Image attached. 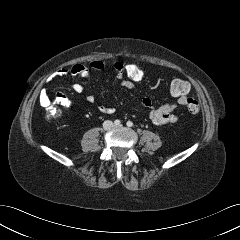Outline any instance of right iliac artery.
<instances>
[{"instance_id": "1", "label": "right iliac artery", "mask_w": 240, "mask_h": 240, "mask_svg": "<svg viewBox=\"0 0 240 240\" xmlns=\"http://www.w3.org/2000/svg\"><path fill=\"white\" fill-rule=\"evenodd\" d=\"M120 123H121V122H120V120H118V119L114 121V124H115L116 126H119Z\"/></svg>"}]
</instances>
